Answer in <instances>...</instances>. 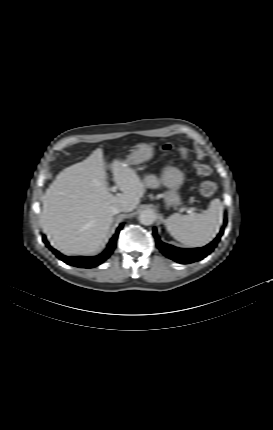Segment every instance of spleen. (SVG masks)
I'll list each match as a JSON object with an SVG mask.
<instances>
[{"mask_svg":"<svg viewBox=\"0 0 273 430\" xmlns=\"http://www.w3.org/2000/svg\"><path fill=\"white\" fill-rule=\"evenodd\" d=\"M223 205L216 198L210 202L204 214L181 215L175 213L166 220L167 231L177 241L199 247L209 243L219 231L222 221Z\"/></svg>","mask_w":273,"mask_h":430,"instance_id":"spleen-1","label":"spleen"}]
</instances>
